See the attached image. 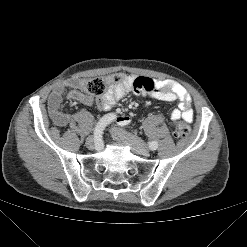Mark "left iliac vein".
<instances>
[{"label": "left iliac vein", "instance_id": "obj_1", "mask_svg": "<svg viewBox=\"0 0 247 247\" xmlns=\"http://www.w3.org/2000/svg\"><path fill=\"white\" fill-rule=\"evenodd\" d=\"M111 132L112 136L115 139L119 140L120 142H123L124 144L130 145L137 154H149V148L143 143L141 139L133 137L118 128H113Z\"/></svg>", "mask_w": 247, "mask_h": 247}]
</instances>
